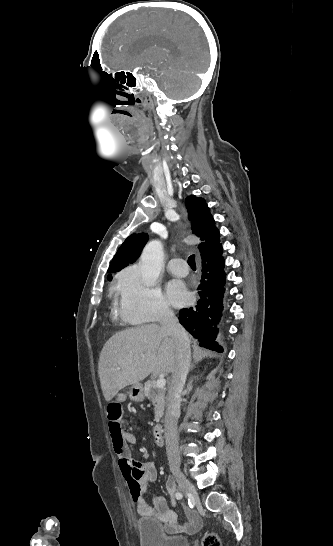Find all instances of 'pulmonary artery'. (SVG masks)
Returning <instances> with one entry per match:
<instances>
[{
  "label": "pulmonary artery",
  "mask_w": 333,
  "mask_h": 546,
  "mask_svg": "<svg viewBox=\"0 0 333 546\" xmlns=\"http://www.w3.org/2000/svg\"><path fill=\"white\" fill-rule=\"evenodd\" d=\"M170 273L176 276L184 277L188 274V266L181 258L171 259L167 264Z\"/></svg>",
  "instance_id": "pulmonary-artery-1"
}]
</instances>
